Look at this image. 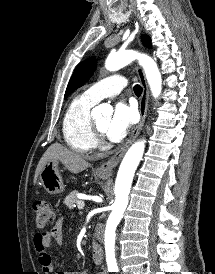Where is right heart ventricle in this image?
<instances>
[{
	"label": "right heart ventricle",
	"mask_w": 215,
	"mask_h": 274,
	"mask_svg": "<svg viewBox=\"0 0 215 274\" xmlns=\"http://www.w3.org/2000/svg\"><path fill=\"white\" fill-rule=\"evenodd\" d=\"M96 102L85 94L72 99L64 114L62 133L66 144L80 153L95 147V135L91 129V108Z\"/></svg>",
	"instance_id": "obj_1"
}]
</instances>
